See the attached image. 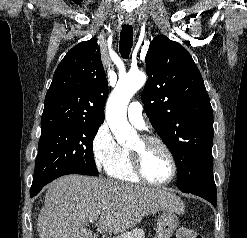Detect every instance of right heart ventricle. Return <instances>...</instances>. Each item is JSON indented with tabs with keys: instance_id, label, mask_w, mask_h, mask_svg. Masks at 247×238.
Segmentation results:
<instances>
[{
	"instance_id": "right-heart-ventricle-1",
	"label": "right heart ventricle",
	"mask_w": 247,
	"mask_h": 238,
	"mask_svg": "<svg viewBox=\"0 0 247 238\" xmlns=\"http://www.w3.org/2000/svg\"><path fill=\"white\" fill-rule=\"evenodd\" d=\"M107 174L110 178L125 183L140 182V179L134 172L130 152L126 148L120 149L117 158L107 169Z\"/></svg>"
}]
</instances>
